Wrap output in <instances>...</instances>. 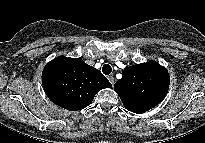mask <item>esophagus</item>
<instances>
[{
	"mask_svg": "<svg viewBox=\"0 0 205 143\" xmlns=\"http://www.w3.org/2000/svg\"><path fill=\"white\" fill-rule=\"evenodd\" d=\"M108 80L110 81V83L113 85L115 82V79L113 76H108Z\"/></svg>",
	"mask_w": 205,
	"mask_h": 143,
	"instance_id": "1",
	"label": "esophagus"
}]
</instances>
